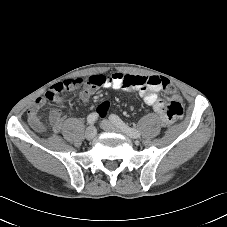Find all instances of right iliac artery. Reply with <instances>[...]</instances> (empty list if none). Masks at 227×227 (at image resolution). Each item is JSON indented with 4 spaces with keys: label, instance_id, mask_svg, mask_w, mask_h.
<instances>
[{
    "label": "right iliac artery",
    "instance_id": "right-iliac-artery-1",
    "mask_svg": "<svg viewBox=\"0 0 227 227\" xmlns=\"http://www.w3.org/2000/svg\"><path fill=\"white\" fill-rule=\"evenodd\" d=\"M98 118V114L97 113H91L88 115L87 117V123L92 125L95 123V121L97 120Z\"/></svg>",
    "mask_w": 227,
    "mask_h": 227
}]
</instances>
